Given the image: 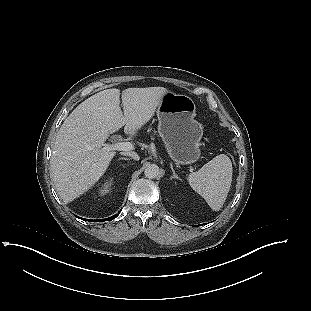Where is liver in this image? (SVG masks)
<instances>
[{"label": "liver", "instance_id": "6515ba94", "mask_svg": "<svg viewBox=\"0 0 311 311\" xmlns=\"http://www.w3.org/2000/svg\"><path fill=\"white\" fill-rule=\"evenodd\" d=\"M163 87L106 89L80 103L65 119L55 139L51 176L60 196L72 201L91 188L106 172L116 155L102 147L110 134L125 125L134 136L154 115Z\"/></svg>", "mask_w": 311, "mask_h": 311}]
</instances>
